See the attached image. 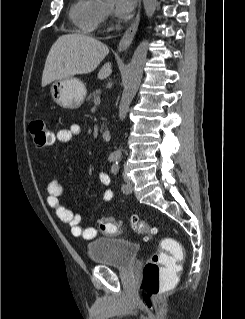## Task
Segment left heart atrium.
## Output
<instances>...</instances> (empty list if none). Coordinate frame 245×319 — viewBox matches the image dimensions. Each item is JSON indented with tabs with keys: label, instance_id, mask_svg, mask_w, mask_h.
<instances>
[{
	"label": "left heart atrium",
	"instance_id": "39dd6f15",
	"mask_svg": "<svg viewBox=\"0 0 245 319\" xmlns=\"http://www.w3.org/2000/svg\"><path fill=\"white\" fill-rule=\"evenodd\" d=\"M137 0H115V13L118 17H127L135 7Z\"/></svg>",
	"mask_w": 245,
	"mask_h": 319
}]
</instances>
